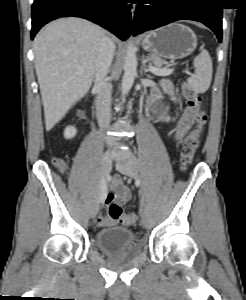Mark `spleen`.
I'll return each mask as SVG.
<instances>
[{"label": "spleen", "instance_id": "obj_1", "mask_svg": "<svg viewBox=\"0 0 246 300\" xmlns=\"http://www.w3.org/2000/svg\"><path fill=\"white\" fill-rule=\"evenodd\" d=\"M195 74L188 79V84L196 93H205L212 80V60L207 50H203L193 61Z\"/></svg>", "mask_w": 246, "mask_h": 300}]
</instances>
